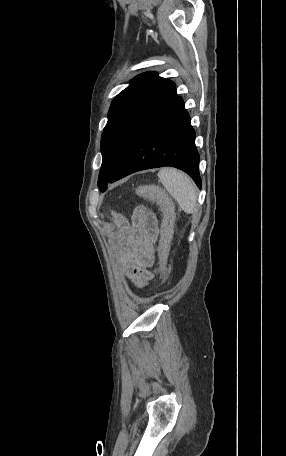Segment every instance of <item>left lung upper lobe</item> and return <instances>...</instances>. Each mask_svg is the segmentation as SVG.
<instances>
[{"mask_svg": "<svg viewBox=\"0 0 286 456\" xmlns=\"http://www.w3.org/2000/svg\"><path fill=\"white\" fill-rule=\"evenodd\" d=\"M176 97L174 82L155 72H146L132 79L113 99L101 137L102 165L98 180L101 191L107 189L139 133Z\"/></svg>", "mask_w": 286, "mask_h": 456, "instance_id": "1", "label": "left lung upper lobe"}]
</instances>
